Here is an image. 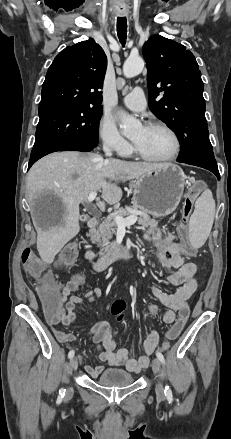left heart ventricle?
Masks as SVG:
<instances>
[{"label": "left heart ventricle", "mask_w": 231, "mask_h": 439, "mask_svg": "<svg viewBox=\"0 0 231 439\" xmlns=\"http://www.w3.org/2000/svg\"><path fill=\"white\" fill-rule=\"evenodd\" d=\"M132 140L142 153L150 157H164L173 149L171 137L162 129L140 128Z\"/></svg>", "instance_id": "b2bd125f"}]
</instances>
